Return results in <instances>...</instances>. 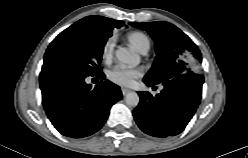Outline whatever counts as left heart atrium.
I'll use <instances>...</instances> for the list:
<instances>
[{
  "instance_id": "left-heart-atrium-1",
  "label": "left heart atrium",
  "mask_w": 248,
  "mask_h": 158,
  "mask_svg": "<svg viewBox=\"0 0 248 158\" xmlns=\"http://www.w3.org/2000/svg\"><path fill=\"white\" fill-rule=\"evenodd\" d=\"M141 75V69L129 68L122 65L112 67L107 73L108 79L119 86H130Z\"/></svg>"
}]
</instances>
